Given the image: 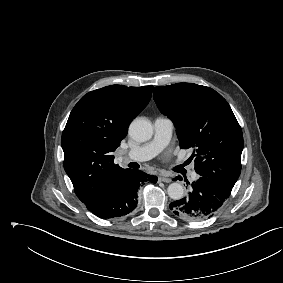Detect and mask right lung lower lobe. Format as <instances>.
I'll return each instance as SVG.
<instances>
[{"label": "right lung lower lobe", "instance_id": "98d812e1", "mask_svg": "<svg viewBox=\"0 0 283 283\" xmlns=\"http://www.w3.org/2000/svg\"><path fill=\"white\" fill-rule=\"evenodd\" d=\"M149 180L156 183L157 177L129 169L115 185L85 205L89 211L101 218L125 216L137 205L140 184Z\"/></svg>", "mask_w": 283, "mask_h": 283}]
</instances>
